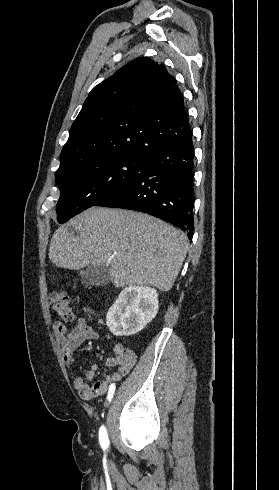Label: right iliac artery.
I'll return each instance as SVG.
<instances>
[{
  "label": "right iliac artery",
  "mask_w": 279,
  "mask_h": 490,
  "mask_svg": "<svg viewBox=\"0 0 279 490\" xmlns=\"http://www.w3.org/2000/svg\"><path fill=\"white\" fill-rule=\"evenodd\" d=\"M113 383L115 384L116 382L114 381ZM114 384L112 386H110V389L108 391L107 399L109 400V402H111V399L113 398L114 391L117 389V386ZM99 442H100V445L103 449L108 448L110 442L108 439L107 430L104 426H101V428L99 430Z\"/></svg>",
  "instance_id": "1"
}]
</instances>
